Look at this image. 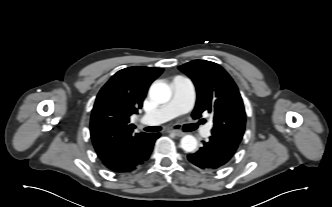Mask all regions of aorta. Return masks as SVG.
Wrapping results in <instances>:
<instances>
[{
  "label": "aorta",
  "instance_id": "obj_1",
  "mask_svg": "<svg viewBox=\"0 0 332 207\" xmlns=\"http://www.w3.org/2000/svg\"><path fill=\"white\" fill-rule=\"evenodd\" d=\"M172 95L170 87L163 82H154L149 89L150 98L159 104L166 103ZM181 148L186 152H192L197 148V140L192 135H185L181 139Z\"/></svg>",
  "mask_w": 332,
  "mask_h": 207
}]
</instances>
